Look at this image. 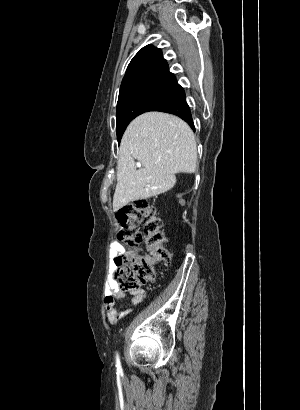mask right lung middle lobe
Instances as JSON below:
<instances>
[{"mask_svg": "<svg viewBox=\"0 0 300 410\" xmlns=\"http://www.w3.org/2000/svg\"><path fill=\"white\" fill-rule=\"evenodd\" d=\"M183 93L177 82L139 83L119 91L116 110L118 142L135 117L147 111H157L173 103Z\"/></svg>", "mask_w": 300, "mask_h": 410, "instance_id": "obj_1", "label": "right lung middle lobe"}]
</instances>
